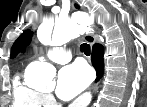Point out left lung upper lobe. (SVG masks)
I'll return each instance as SVG.
<instances>
[{"label":"left lung upper lobe","instance_id":"5c2ea615","mask_svg":"<svg viewBox=\"0 0 147 107\" xmlns=\"http://www.w3.org/2000/svg\"><path fill=\"white\" fill-rule=\"evenodd\" d=\"M32 31H24L19 38L14 42L11 50V58H14L19 51H24L25 47L30 43Z\"/></svg>","mask_w":147,"mask_h":107}]
</instances>
